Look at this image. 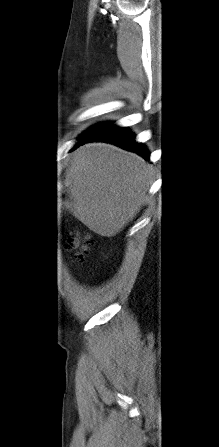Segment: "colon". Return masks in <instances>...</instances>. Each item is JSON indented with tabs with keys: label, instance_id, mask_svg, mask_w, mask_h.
<instances>
[{
	"label": "colon",
	"instance_id": "obj_1",
	"mask_svg": "<svg viewBox=\"0 0 219 447\" xmlns=\"http://www.w3.org/2000/svg\"><path fill=\"white\" fill-rule=\"evenodd\" d=\"M67 246L74 251V260L76 262H82L89 252L90 237L88 235L73 233L67 241Z\"/></svg>",
	"mask_w": 219,
	"mask_h": 447
}]
</instances>
